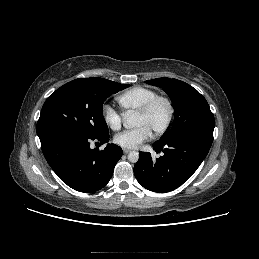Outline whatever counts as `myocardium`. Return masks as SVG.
Here are the masks:
<instances>
[{"instance_id":"1","label":"myocardium","mask_w":259,"mask_h":259,"mask_svg":"<svg viewBox=\"0 0 259 259\" xmlns=\"http://www.w3.org/2000/svg\"><path fill=\"white\" fill-rule=\"evenodd\" d=\"M160 102H163L168 109V117L166 119V122L164 123V125L159 128L158 130H156L154 132V134L156 136H161L164 133H166L168 131V129L171 127L173 119H174V114H175V109H174V105L172 103V101L166 97V96H162V95H157L153 98H151L149 101H147L138 111L137 114L140 115H148L153 108Z\"/></svg>"}]
</instances>
